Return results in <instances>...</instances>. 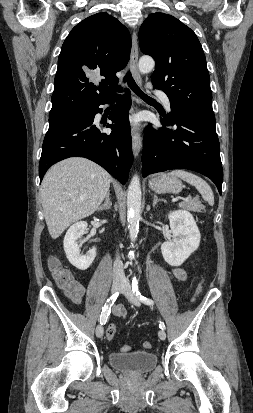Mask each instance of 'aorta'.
I'll return each instance as SVG.
<instances>
[{"mask_svg": "<svg viewBox=\"0 0 253 413\" xmlns=\"http://www.w3.org/2000/svg\"><path fill=\"white\" fill-rule=\"evenodd\" d=\"M155 67L152 57L144 55L139 59L138 69L140 73L147 74ZM127 217L131 241H135L139 230L141 213V185L138 175H134L127 192Z\"/></svg>", "mask_w": 253, "mask_h": 413, "instance_id": "762f6f07", "label": "aorta"}]
</instances>
